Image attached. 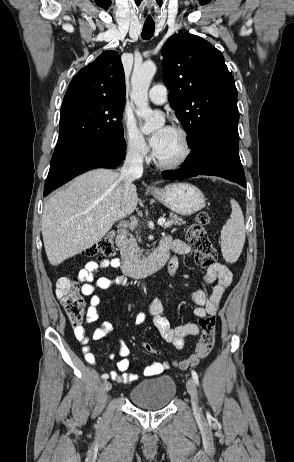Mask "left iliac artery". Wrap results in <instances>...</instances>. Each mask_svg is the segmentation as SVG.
Wrapping results in <instances>:
<instances>
[{"label":"left iliac artery","instance_id":"44dca946","mask_svg":"<svg viewBox=\"0 0 294 462\" xmlns=\"http://www.w3.org/2000/svg\"><path fill=\"white\" fill-rule=\"evenodd\" d=\"M191 374H192V378H193L194 382H195L197 385H199V379H198L197 373H196L194 370H192V371H191Z\"/></svg>","mask_w":294,"mask_h":462}]
</instances>
